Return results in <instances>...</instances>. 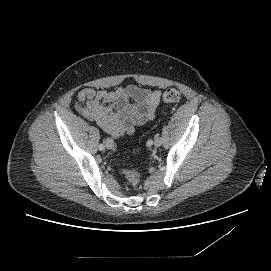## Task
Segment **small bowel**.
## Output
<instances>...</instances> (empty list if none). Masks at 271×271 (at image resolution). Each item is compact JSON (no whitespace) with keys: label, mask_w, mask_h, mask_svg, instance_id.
<instances>
[{"label":"small bowel","mask_w":271,"mask_h":271,"mask_svg":"<svg viewBox=\"0 0 271 271\" xmlns=\"http://www.w3.org/2000/svg\"><path fill=\"white\" fill-rule=\"evenodd\" d=\"M161 92L129 85L115 89L79 91L76 110L96 122L104 131L118 138L154 118Z\"/></svg>","instance_id":"small-bowel-1"}]
</instances>
